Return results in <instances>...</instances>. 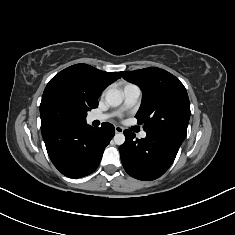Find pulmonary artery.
<instances>
[{"label":"pulmonary artery","instance_id":"e3ab8cb5","mask_svg":"<svg viewBox=\"0 0 235 235\" xmlns=\"http://www.w3.org/2000/svg\"><path fill=\"white\" fill-rule=\"evenodd\" d=\"M123 94H124V104L123 109L130 108L133 106L139 99L141 91L140 88L134 84H127L123 88ZM113 114H93L89 117V121H105L109 118H111ZM139 136L141 138L146 137V132L142 131Z\"/></svg>","mask_w":235,"mask_h":235}]
</instances>
